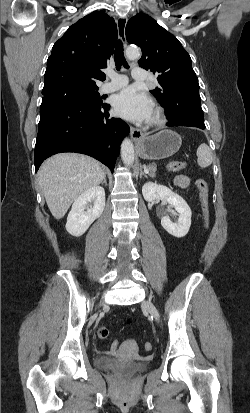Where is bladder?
Masks as SVG:
<instances>
[{"mask_svg": "<svg viewBox=\"0 0 250 413\" xmlns=\"http://www.w3.org/2000/svg\"><path fill=\"white\" fill-rule=\"evenodd\" d=\"M98 368L114 371L123 375L131 376L143 372L148 364L143 361H126L112 356H98L95 359Z\"/></svg>", "mask_w": 250, "mask_h": 413, "instance_id": "obj_1", "label": "bladder"}]
</instances>
